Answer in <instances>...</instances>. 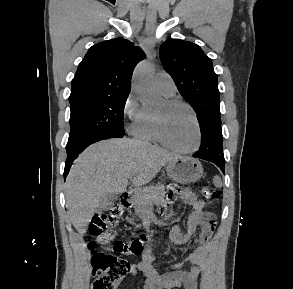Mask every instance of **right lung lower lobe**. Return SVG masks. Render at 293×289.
I'll return each mask as SVG.
<instances>
[{
	"mask_svg": "<svg viewBox=\"0 0 293 289\" xmlns=\"http://www.w3.org/2000/svg\"><path fill=\"white\" fill-rule=\"evenodd\" d=\"M124 135L118 134V133H103L99 134L97 136L91 137L89 139H86L84 141L78 142L72 146L66 147L67 151V160L65 163V169H64V178H66L67 174L69 173L71 164L75 160V158L83 151L85 150L89 145L109 139V138H117V137H123Z\"/></svg>",
	"mask_w": 293,
	"mask_h": 289,
	"instance_id": "1",
	"label": "right lung lower lobe"
}]
</instances>
